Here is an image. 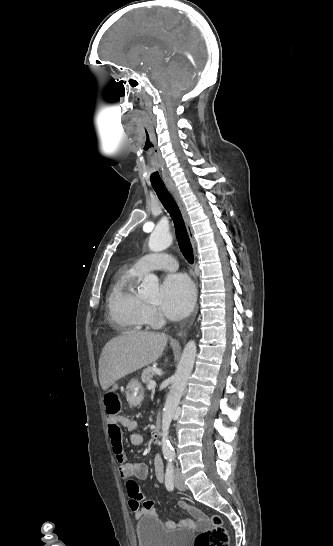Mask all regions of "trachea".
<instances>
[{
    "label": "trachea",
    "mask_w": 333,
    "mask_h": 546,
    "mask_svg": "<svg viewBox=\"0 0 333 546\" xmlns=\"http://www.w3.org/2000/svg\"><path fill=\"white\" fill-rule=\"evenodd\" d=\"M152 177H159L158 172H154L151 174ZM153 189L155 190L158 198L160 199L161 203L165 207V209L168 211L170 216L172 217V220L174 222L175 226V232L176 237L178 240V244L180 247V250L185 257V259L190 263L193 264L194 262V256H193V249L192 245L190 243V239L187 233V229L181 214V211L166 188L164 184H152Z\"/></svg>",
    "instance_id": "1"
}]
</instances>
